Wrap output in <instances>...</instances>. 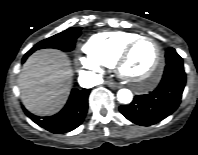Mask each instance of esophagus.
Returning a JSON list of instances; mask_svg holds the SVG:
<instances>
[{
  "instance_id": "34e87169",
  "label": "esophagus",
  "mask_w": 198,
  "mask_h": 155,
  "mask_svg": "<svg viewBox=\"0 0 198 155\" xmlns=\"http://www.w3.org/2000/svg\"><path fill=\"white\" fill-rule=\"evenodd\" d=\"M106 84L108 85V87H110L111 89H118L120 86L118 84H116L115 82H112L110 80L106 81Z\"/></svg>"
}]
</instances>
